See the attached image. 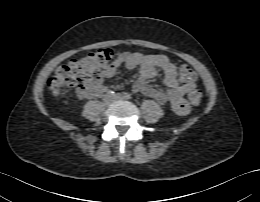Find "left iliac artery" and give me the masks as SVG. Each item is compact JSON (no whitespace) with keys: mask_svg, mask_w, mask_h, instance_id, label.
I'll use <instances>...</instances> for the list:
<instances>
[{"mask_svg":"<svg viewBox=\"0 0 260 202\" xmlns=\"http://www.w3.org/2000/svg\"><path fill=\"white\" fill-rule=\"evenodd\" d=\"M124 97H125L126 99H131V95L128 94V93H124Z\"/></svg>","mask_w":260,"mask_h":202,"instance_id":"obj_1","label":"left iliac artery"}]
</instances>
